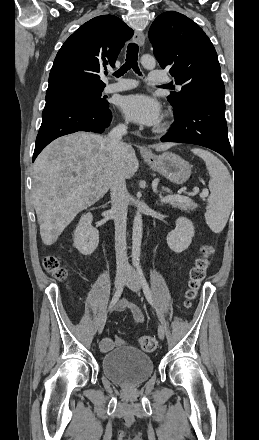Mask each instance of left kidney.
<instances>
[{"instance_id":"5707ae66","label":"left kidney","mask_w":259,"mask_h":440,"mask_svg":"<svg viewBox=\"0 0 259 440\" xmlns=\"http://www.w3.org/2000/svg\"><path fill=\"white\" fill-rule=\"evenodd\" d=\"M194 233L193 223L185 217H179L176 228L167 235V244L175 253H181L190 246Z\"/></svg>"}]
</instances>
